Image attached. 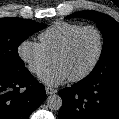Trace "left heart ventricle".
<instances>
[{"label":"left heart ventricle","mask_w":119,"mask_h":119,"mask_svg":"<svg viewBox=\"0 0 119 119\" xmlns=\"http://www.w3.org/2000/svg\"><path fill=\"white\" fill-rule=\"evenodd\" d=\"M98 45L96 33L85 31L77 37L71 49L56 60L55 64L60 66L69 78L75 77L84 72L93 62Z\"/></svg>","instance_id":"left-heart-ventricle-1"}]
</instances>
